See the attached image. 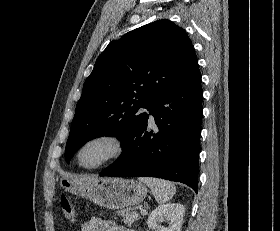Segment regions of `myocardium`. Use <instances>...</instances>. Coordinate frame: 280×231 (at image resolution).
Segmentation results:
<instances>
[{
	"label": "myocardium",
	"instance_id": "1",
	"mask_svg": "<svg viewBox=\"0 0 280 231\" xmlns=\"http://www.w3.org/2000/svg\"><path fill=\"white\" fill-rule=\"evenodd\" d=\"M98 138L112 139L116 143L117 150L114 153V155L111 158H109L102 165L97 166V167L92 168V169H85L79 163L80 153L87 143H89L90 141H92L94 139H98ZM126 150H127V142H126V139L123 136V134H121L120 132L115 131V130H104V131H100V132H97V133L91 135L90 137H88L86 140L83 141V143L79 146V148L76 151L75 160H76L77 166L81 170H83L85 172H94V171L101 170V169L111 165L112 163L116 162L120 158H122L124 156Z\"/></svg>",
	"mask_w": 280,
	"mask_h": 231
}]
</instances>
